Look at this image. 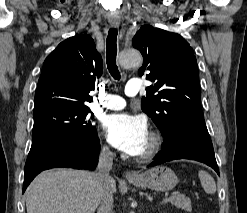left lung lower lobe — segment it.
<instances>
[{"label":"left lung lower lobe","instance_id":"0a47b994","mask_svg":"<svg viewBox=\"0 0 247 213\" xmlns=\"http://www.w3.org/2000/svg\"><path fill=\"white\" fill-rule=\"evenodd\" d=\"M175 159L197 160L212 167L219 175L213 145L205 122H181L175 125L174 134L164 137L161 151L149 166Z\"/></svg>","mask_w":247,"mask_h":213}]
</instances>
